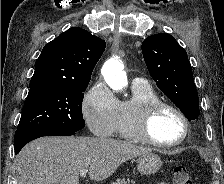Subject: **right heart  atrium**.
<instances>
[{
	"label": "right heart atrium",
	"instance_id": "right-heart-atrium-1",
	"mask_svg": "<svg viewBox=\"0 0 224 184\" xmlns=\"http://www.w3.org/2000/svg\"><path fill=\"white\" fill-rule=\"evenodd\" d=\"M119 101L108 86L98 81L85 94L82 114L90 131L100 137L114 133Z\"/></svg>",
	"mask_w": 224,
	"mask_h": 184
}]
</instances>
